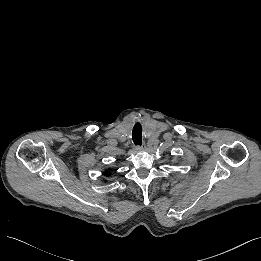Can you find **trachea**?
I'll list each match as a JSON object with an SVG mask.
<instances>
[{
	"label": "trachea",
	"mask_w": 261,
	"mask_h": 261,
	"mask_svg": "<svg viewBox=\"0 0 261 261\" xmlns=\"http://www.w3.org/2000/svg\"><path fill=\"white\" fill-rule=\"evenodd\" d=\"M132 138L135 145H141L142 143V126L140 122L136 121L133 130H132Z\"/></svg>",
	"instance_id": "trachea-1"
}]
</instances>
